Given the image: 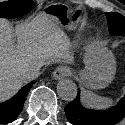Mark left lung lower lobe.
I'll return each mask as SVG.
<instances>
[{
	"label": "left lung lower lobe",
	"mask_w": 125,
	"mask_h": 125,
	"mask_svg": "<svg viewBox=\"0 0 125 125\" xmlns=\"http://www.w3.org/2000/svg\"><path fill=\"white\" fill-rule=\"evenodd\" d=\"M65 114L74 125H115L125 117V96L110 109L90 110L81 105L78 90L77 97L65 106Z\"/></svg>",
	"instance_id": "1"
}]
</instances>
